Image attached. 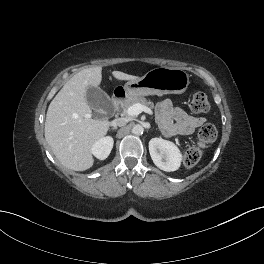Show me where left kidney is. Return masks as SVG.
I'll return each mask as SVG.
<instances>
[{"label":"left kidney","instance_id":"obj_1","mask_svg":"<svg viewBox=\"0 0 264 264\" xmlns=\"http://www.w3.org/2000/svg\"><path fill=\"white\" fill-rule=\"evenodd\" d=\"M149 153L154 164L163 171L177 170L182 161L179 148L171 141L153 138L149 141Z\"/></svg>","mask_w":264,"mask_h":264}]
</instances>
